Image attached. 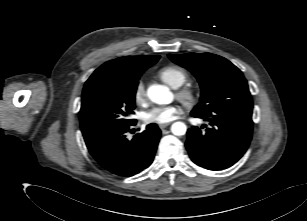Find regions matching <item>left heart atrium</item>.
<instances>
[{
  "instance_id": "left-heart-atrium-1",
  "label": "left heart atrium",
  "mask_w": 307,
  "mask_h": 221,
  "mask_svg": "<svg viewBox=\"0 0 307 221\" xmlns=\"http://www.w3.org/2000/svg\"><path fill=\"white\" fill-rule=\"evenodd\" d=\"M179 108L175 105L155 107L145 114L144 120L147 123L164 124L175 119Z\"/></svg>"
}]
</instances>
